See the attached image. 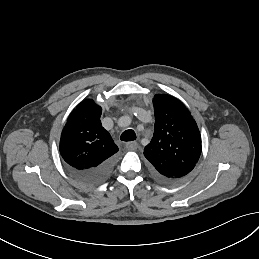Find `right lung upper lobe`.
<instances>
[{"instance_id":"cb5924a9","label":"right lung upper lobe","mask_w":259,"mask_h":259,"mask_svg":"<svg viewBox=\"0 0 259 259\" xmlns=\"http://www.w3.org/2000/svg\"><path fill=\"white\" fill-rule=\"evenodd\" d=\"M101 107L91 99L81 102L70 114L60 139L64 161L78 170L97 167L114 157L118 147L100 121Z\"/></svg>"}]
</instances>
